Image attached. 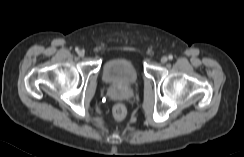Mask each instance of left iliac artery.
<instances>
[{"label":"left iliac artery","mask_w":244,"mask_h":157,"mask_svg":"<svg viewBox=\"0 0 244 157\" xmlns=\"http://www.w3.org/2000/svg\"><path fill=\"white\" fill-rule=\"evenodd\" d=\"M168 58H169V60H172L173 59V56L172 55H169Z\"/></svg>","instance_id":"1"}]
</instances>
